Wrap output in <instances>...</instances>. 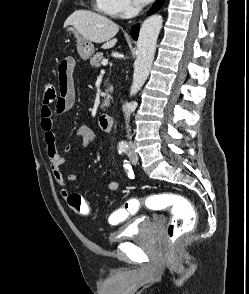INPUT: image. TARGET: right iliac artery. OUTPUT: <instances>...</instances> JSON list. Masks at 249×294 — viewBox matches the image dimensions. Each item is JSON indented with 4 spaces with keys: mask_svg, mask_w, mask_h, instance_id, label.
<instances>
[{
    "mask_svg": "<svg viewBox=\"0 0 249 294\" xmlns=\"http://www.w3.org/2000/svg\"><path fill=\"white\" fill-rule=\"evenodd\" d=\"M127 149H128V145L122 144V145H119L118 152H119V154L123 155L126 153Z\"/></svg>",
    "mask_w": 249,
    "mask_h": 294,
    "instance_id": "1",
    "label": "right iliac artery"
}]
</instances>
